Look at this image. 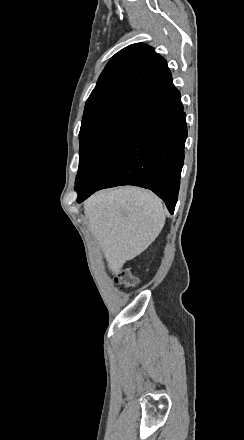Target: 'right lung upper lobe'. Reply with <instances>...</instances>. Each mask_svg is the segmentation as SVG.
I'll return each mask as SVG.
<instances>
[{
	"label": "right lung upper lobe",
	"mask_w": 244,
	"mask_h": 440,
	"mask_svg": "<svg viewBox=\"0 0 244 440\" xmlns=\"http://www.w3.org/2000/svg\"><path fill=\"white\" fill-rule=\"evenodd\" d=\"M170 78L166 60L151 46L132 44L110 59L86 103L121 95L142 98Z\"/></svg>",
	"instance_id": "right-lung-upper-lobe-1"
}]
</instances>
